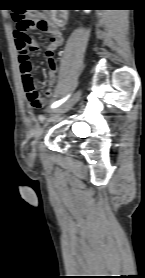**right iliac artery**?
<instances>
[{"label": "right iliac artery", "instance_id": "right-iliac-artery-1", "mask_svg": "<svg viewBox=\"0 0 145 278\" xmlns=\"http://www.w3.org/2000/svg\"><path fill=\"white\" fill-rule=\"evenodd\" d=\"M68 97L69 96H67L66 98H63V99H61L59 101L54 102L52 104V108H56V107L60 106L62 103H64L68 99Z\"/></svg>", "mask_w": 145, "mask_h": 278}]
</instances>
